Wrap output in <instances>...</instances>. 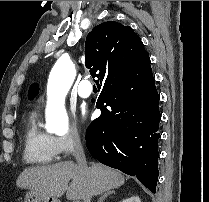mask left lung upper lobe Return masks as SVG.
Here are the masks:
<instances>
[{"instance_id": "obj_1", "label": "left lung upper lobe", "mask_w": 209, "mask_h": 202, "mask_svg": "<svg viewBox=\"0 0 209 202\" xmlns=\"http://www.w3.org/2000/svg\"><path fill=\"white\" fill-rule=\"evenodd\" d=\"M39 92V86L37 83H34L29 88L28 97L30 100H32Z\"/></svg>"}]
</instances>
